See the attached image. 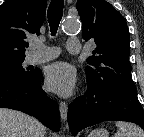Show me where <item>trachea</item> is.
Listing matches in <instances>:
<instances>
[{"mask_svg": "<svg viewBox=\"0 0 144 137\" xmlns=\"http://www.w3.org/2000/svg\"><path fill=\"white\" fill-rule=\"evenodd\" d=\"M64 0H52L47 11L51 34L55 35L63 14Z\"/></svg>", "mask_w": 144, "mask_h": 137, "instance_id": "trachea-1", "label": "trachea"}]
</instances>
